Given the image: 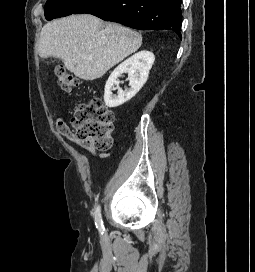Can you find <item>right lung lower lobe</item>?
<instances>
[{
    "mask_svg": "<svg viewBox=\"0 0 255 272\" xmlns=\"http://www.w3.org/2000/svg\"><path fill=\"white\" fill-rule=\"evenodd\" d=\"M182 0H90L73 14L88 13L134 29L173 30L181 38Z\"/></svg>",
    "mask_w": 255,
    "mask_h": 272,
    "instance_id": "obj_1",
    "label": "right lung lower lobe"
}]
</instances>
